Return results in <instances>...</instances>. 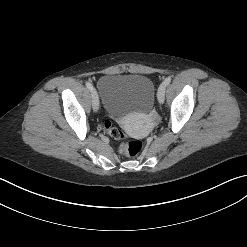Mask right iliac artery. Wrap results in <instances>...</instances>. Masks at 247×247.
Segmentation results:
<instances>
[{
	"label": "right iliac artery",
	"mask_w": 247,
	"mask_h": 247,
	"mask_svg": "<svg viewBox=\"0 0 247 247\" xmlns=\"http://www.w3.org/2000/svg\"><path fill=\"white\" fill-rule=\"evenodd\" d=\"M86 87L92 92L93 86L90 82H86Z\"/></svg>",
	"instance_id": "82829eb1"
}]
</instances>
